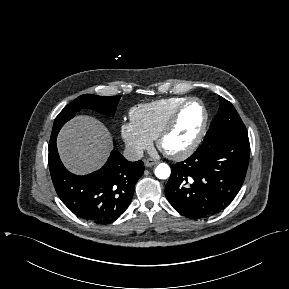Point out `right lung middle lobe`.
I'll list each match as a JSON object with an SVG mask.
<instances>
[{"instance_id": "right-lung-middle-lobe-1", "label": "right lung middle lobe", "mask_w": 289, "mask_h": 289, "mask_svg": "<svg viewBox=\"0 0 289 289\" xmlns=\"http://www.w3.org/2000/svg\"><path fill=\"white\" fill-rule=\"evenodd\" d=\"M121 96L102 97L97 95L85 94L76 98L55 118L51 136H57L61 127L75 114L83 108H88L105 115L113 116L116 112L117 104Z\"/></svg>"}]
</instances>
